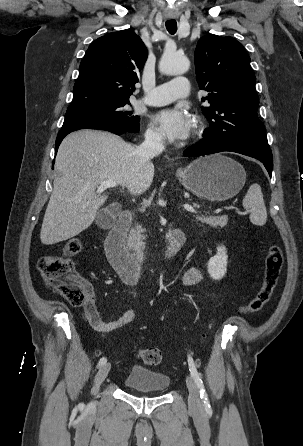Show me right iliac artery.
<instances>
[{
    "instance_id": "1",
    "label": "right iliac artery",
    "mask_w": 303,
    "mask_h": 446,
    "mask_svg": "<svg viewBox=\"0 0 303 446\" xmlns=\"http://www.w3.org/2000/svg\"><path fill=\"white\" fill-rule=\"evenodd\" d=\"M106 362H107V359H106L105 357H102V358L99 360L98 366L101 367V366H103Z\"/></svg>"
}]
</instances>
